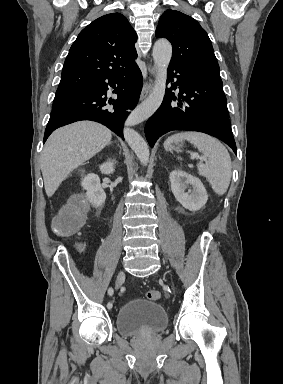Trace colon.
Returning a JSON list of instances; mask_svg holds the SVG:
<instances>
[{
	"instance_id": "1",
	"label": "colon",
	"mask_w": 283,
	"mask_h": 384,
	"mask_svg": "<svg viewBox=\"0 0 283 384\" xmlns=\"http://www.w3.org/2000/svg\"><path fill=\"white\" fill-rule=\"evenodd\" d=\"M86 204L81 200H73L65 207L54 220V229L62 235L74 234L83 224ZM149 300H158L161 293L158 290H150L146 293Z\"/></svg>"
}]
</instances>
